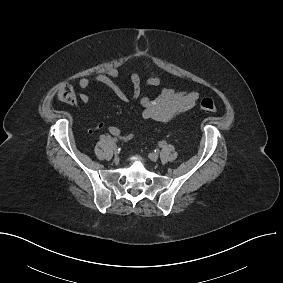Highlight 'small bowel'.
I'll use <instances>...</instances> for the list:
<instances>
[{"label":"small bowel","instance_id":"small-bowel-1","mask_svg":"<svg viewBox=\"0 0 283 283\" xmlns=\"http://www.w3.org/2000/svg\"><path fill=\"white\" fill-rule=\"evenodd\" d=\"M142 64L148 73L144 85L148 87L158 86L160 84V76L153 68L150 61L143 59ZM119 73L116 68H109L103 73L94 77H84L79 80V87L87 89L92 83H100L107 86L116 97L122 102H129L131 99L139 100L142 110V118L145 120H153L159 123H166L176 116L194 108L198 102L199 94L197 92L176 91L173 88H164L157 97L141 96L142 79L140 73L136 69L130 70V81L132 84V94L129 96L118 83ZM82 103L86 104L89 97L85 93L79 95ZM102 125H97L96 129ZM109 133L119 138L123 142L132 140L135 133L123 134L117 126H110Z\"/></svg>","mask_w":283,"mask_h":283}]
</instances>
